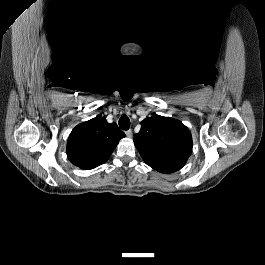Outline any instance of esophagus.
I'll list each match as a JSON object with an SVG mask.
<instances>
[{"label": "esophagus", "instance_id": "obj_1", "mask_svg": "<svg viewBox=\"0 0 265 265\" xmlns=\"http://www.w3.org/2000/svg\"><path fill=\"white\" fill-rule=\"evenodd\" d=\"M132 129H129V130H127L126 131V136L128 137V138H131L132 137Z\"/></svg>", "mask_w": 265, "mask_h": 265}]
</instances>
